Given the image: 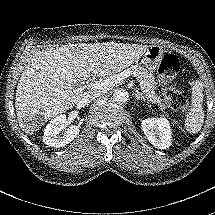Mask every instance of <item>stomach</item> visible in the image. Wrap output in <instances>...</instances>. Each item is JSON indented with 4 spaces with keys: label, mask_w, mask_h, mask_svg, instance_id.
Here are the masks:
<instances>
[{
    "label": "stomach",
    "mask_w": 215,
    "mask_h": 215,
    "mask_svg": "<svg viewBox=\"0 0 215 215\" xmlns=\"http://www.w3.org/2000/svg\"><path fill=\"white\" fill-rule=\"evenodd\" d=\"M164 56L165 51L162 46L150 45L145 50L141 59V63L147 69L154 71L160 66Z\"/></svg>",
    "instance_id": "0dacf381"
}]
</instances>
